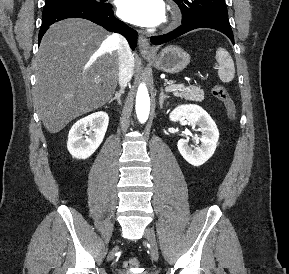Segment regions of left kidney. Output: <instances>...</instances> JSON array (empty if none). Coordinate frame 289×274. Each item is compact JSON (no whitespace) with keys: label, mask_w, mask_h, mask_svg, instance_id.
I'll use <instances>...</instances> for the list:
<instances>
[{"label":"left kidney","mask_w":289,"mask_h":274,"mask_svg":"<svg viewBox=\"0 0 289 274\" xmlns=\"http://www.w3.org/2000/svg\"><path fill=\"white\" fill-rule=\"evenodd\" d=\"M173 122L181 118L186 119L189 124L201 132L198 138L200 146L195 148L188 144L185 139H180L177 143L178 150L183 158L193 166L204 164L215 152L219 139V131L210 115L200 106L189 104L176 107L169 115Z\"/></svg>","instance_id":"obj_1"}]
</instances>
